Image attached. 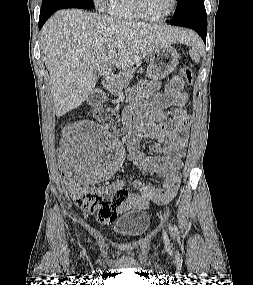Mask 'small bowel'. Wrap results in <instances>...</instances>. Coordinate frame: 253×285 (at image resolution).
Wrapping results in <instances>:
<instances>
[{"label":"small bowel","mask_w":253,"mask_h":285,"mask_svg":"<svg viewBox=\"0 0 253 285\" xmlns=\"http://www.w3.org/2000/svg\"><path fill=\"white\" fill-rule=\"evenodd\" d=\"M183 85V80L175 76L164 92L151 101L145 98L159 87L157 82L143 81L132 89L130 105L123 114L124 126L115 133L126 136L128 156L134 166L143 172L156 173L164 181L161 187H155L134 180V192L128 194L127 200L118 206L119 210L145 209L150 203L165 205L177 195L190 125V116L184 110L189 96ZM102 114L106 117L104 126H121L122 113H118V109H102ZM130 120L134 122L133 128L129 126ZM142 138L157 142L151 147L156 156H148L140 150L138 142ZM125 184L124 180H119L113 186L124 187Z\"/></svg>","instance_id":"obj_1"}]
</instances>
